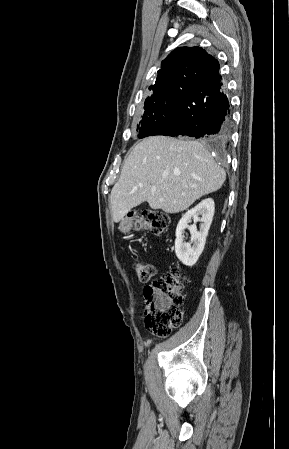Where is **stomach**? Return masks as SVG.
I'll use <instances>...</instances> for the list:
<instances>
[{"label": "stomach", "mask_w": 289, "mask_h": 449, "mask_svg": "<svg viewBox=\"0 0 289 449\" xmlns=\"http://www.w3.org/2000/svg\"><path fill=\"white\" fill-rule=\"evenodd\" d=\"M132 228V220L129 218H125L121 221L119 225V229L123 233H128Z\"/></svg>", "instance_id": "0dacf381"}]
</instances>
